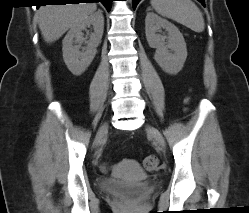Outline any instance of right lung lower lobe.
<instances>
[{
  "mask_svg": "<svg viewBox=\"0 0 249 213\" xmlns=\"http://www.w3.org/2000/svg\"><path fill=\"white\" fill-rule=\"evenodd\" d=\"M82 1H91L93 2H101L107 8L108 11L111 9L113 0H46V2L54 3V4H65V3H80ZM39 7V6H38Z\"/></svg>",
  "mask_w": 249,
  "mask_h": 213,
  "instance_id": "obj_1",
  "label": "right lung lower lobe"
}]
</instances>
